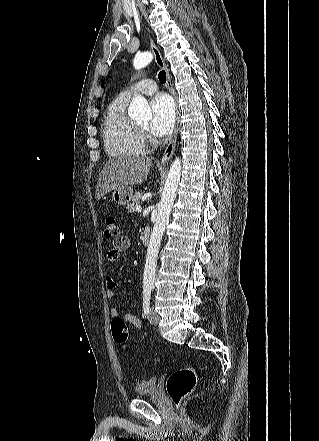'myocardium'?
Listing matches in <instances>:
<instances>
[{"instance_id": "f54148a6", "label": "myocardium", "mask_w": 319, "mask_h": 441, "mask_svg": "<svg viewBox=\"0 0 319 441\" xmlns=\"http://www.w3.org/2000/svg\"><path fill=\"white\" fill-rule=\"evenodd\" d=\"M140 130H145V128L143 126H139Z\"/></svg>"}]
</instances>
